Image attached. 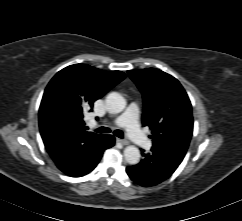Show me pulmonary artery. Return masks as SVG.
<instances>
[{
    "label": "pulmonary artery",
    "mask_w": 242,
    "mask_h": 221,
    "mask_svg": "<svg viewBox=\"0 0 242 221\" xmlns=\"http://www.w3.org/2000/svg\"><path fill=\"white\" fill-rule=\"evenodd\" d=\"M139 109L135 103L129 105L127 110L116 117L112 123L116 126H124L131 139L140 147H150L149 139L143 134L138 124Z\"/></svg>",
    "instance_id": "1"
}]
</instances>
